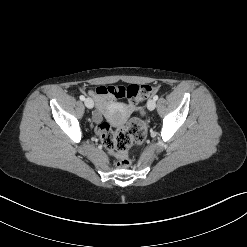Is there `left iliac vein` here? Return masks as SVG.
I'll return each instance as SVG.
<instances>
[{
	"instance_id": "1",
	"label": "left iliac vein",
	"mask_w": 247,
	"mask_h": 247,
	"mask_svg": "<svg viewBox=\"0 0 247 247\" xmlns=\"http://www.w3.org/2000/svg\"><path fill=\"white\" fill-rule=\"evenodd\" d=\"M155 107H156V101H155L154 99L148 100V102H147V108H148L150 111H152V110L155 109Z\"/></svg>"
}]
</instances>
